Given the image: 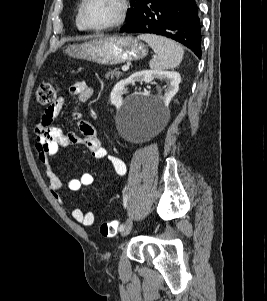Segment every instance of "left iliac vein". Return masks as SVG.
<instances>
[{
  "label": "left iliac vein",
  "instance_id": "4c4485c4",
  "mask_svg": "<svg viewBox=\"0 0 267 301\" xmlns=\"http://www.w3.org/2000/svg\"><path fill=\"white\" fill-rule=\"evenodd\" d=\"M132 227H133V221L132 219H129L126 224L124 225V228L123 230L121 231V235L122 236H127L131 230H132Z\"/></svg>",
  "mask_w": 267,
  "mask_h": 301
}]
</instances>
